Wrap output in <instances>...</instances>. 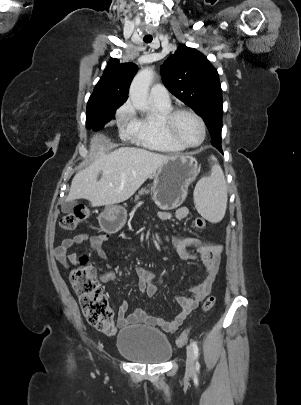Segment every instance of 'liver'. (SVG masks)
I'll return each mask as SVG.
<instances>
[{"label":"liver","instance_id":"6515ba94","mask_svg":"<svg viewBox=\"0 0 301 405\" xmlns=\"http://www.w3.org/2000/svg\"><path fill=\"white\" fill-rule=\"evenodd\" d=\"M94 162L73 178L67 201L87 199L93 207L129 199L169 156L142 148L122 147L110 153L94 138ZM102 177L98 181V175Z\"/></svg>","mask_w":301,"mask_h":405}]
</instances>
